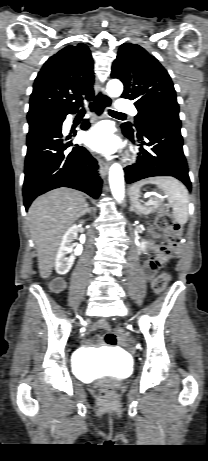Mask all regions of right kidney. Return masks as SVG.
<instances>
[{
	"mask_svg": "<svg viewBox=\"0 0 208 461\" xmlns=\"http://www.w3.org/2000/svg\"><path fill=\"white\" fill-rule=\"evenodd\" d=\"M77 230L78 226L73 225L62 237L55 259V270L60 275L67 274L74 263L75 256L82 253V245H78L75 250L72 249V242L77 237ZM68 254H70L69 257H67Z\"/></svg>",
	"mask_w": 208,
	"mask_h": 461,
	"instance_id": "ca27d5eb",
	"label": "right kidney"
}]
</instances>
